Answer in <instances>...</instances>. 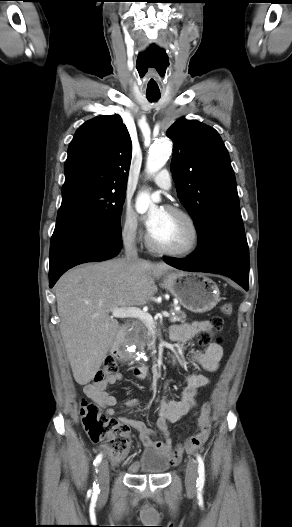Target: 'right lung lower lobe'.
Here are the masks:
<instances>
[{
	"label": "right lung lower lobe",
	"instance_id": "right-lung-lower-lobe-1",
	"mask_svg": "<svg viewBox=\"0 0 292 527\" xmlns=\"http://www.w3.org/2000/svg\"><path fill=\"white\" fill-rule=\"evenodd\" d=\"M121 248V234L89 222L57 221L50 244V288L68 269L113 258Z\"/></svg>",
	"mask_w": 292,
	"mask_h": 527
}]
</instances>
